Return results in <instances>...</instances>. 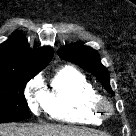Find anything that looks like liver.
Segmentation results:
<instances>
[{"mask_svg": "<svg viewBox=\"0 0 136 136\" xmlns=\"http://www.w3.org/2000/svg\"><path fill=\"white\" fill-rule=\"evenodd\" d=\"M0 136H99L89 129H78L64 125H0Z\"/></svg>", "mask_w": 136, "mask_h": 136, "instance_id": "6515ba94", "label": "liver"}]
</instances>
